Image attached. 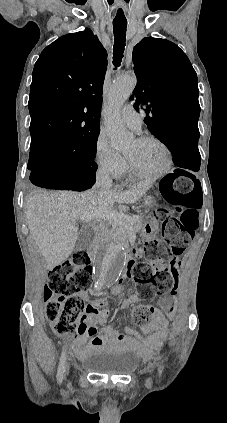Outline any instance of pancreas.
I'll return each mask as SVG.
<instances>
[{
  "label": "pancreas",
  "instance_id": "obj_1",
  "mask_svg": "<svg viewBox=\"0 0 227 423\" xmlns=\"http://www.w3.org/2000/svg\"><path fill=\"white\" fill-rule=\"evenodd\" d=\"M131 217L135 219L133 223H119V221L101 219V221H98L97 231L105 239H124L128 233H136L143 227L142 215H131Z\"/></svg>",
  "mask_w": 227,
  "mask_h": 423
}]
</instances>
